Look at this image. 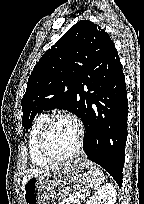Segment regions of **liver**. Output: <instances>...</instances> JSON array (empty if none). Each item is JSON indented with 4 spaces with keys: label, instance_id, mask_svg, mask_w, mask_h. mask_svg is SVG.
Listing matches in <instances>:
<instances>
[{
    "label": "liver",
    "instance_id": "1",
    "mask_svg": "<svg viewBox=\"0 0 144 204\" xmlns=\"http://www.w3.org/2000/svg\"><path fill=\"white\" fill-rule=\"evenodd\" d=\"M56 167H41V168H35V169H30L29 171H27V174L23 177L22 180V188L24 187V185L26 184V182L34 177V176H39V175H43V174H47L48 172H50L51 170L55 169Z\"/></svg>",
    "mask_w": 144,
    "mask_h": 204
}]
</instances>
